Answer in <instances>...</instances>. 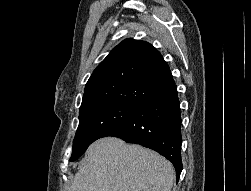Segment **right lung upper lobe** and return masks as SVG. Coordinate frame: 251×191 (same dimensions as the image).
<instances>
[{"mask_svg": "<svg viewBox=\"0 0 251 191\" xmlns=\"http://www.w3.org/2000/svg\"><path fill=\"white\" fill-rule=\"evenodd\" d=\"M174 84L170 68L156 48L126 39L92 73L80 111L110 102L142 107Z\"/></svg>", "mask_w": 251, "mask_h": 191, "instance_id": "1", "label": "right lung upper lobe"}]
</instances>
